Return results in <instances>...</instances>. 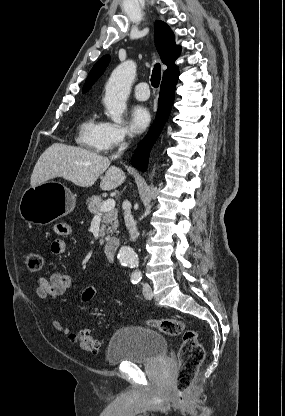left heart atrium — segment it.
I'll return each mask as SVG.
<instances>
[{"label": "left heart atrium", "instance_id": "1", "mask_svg": "<svg viewBox=\"0 0 285 416\" xmlns=\"http://www.w3.org/2000/svg\"><path fill=\"white\" fill-rule=\"evenodd\" d=\"M131 122L135 131H143L150 122L148 110L141 105L135 106L131 112Z\"/></svg>", "mask_w": 285, "mask_h": 416}]
</instances>
